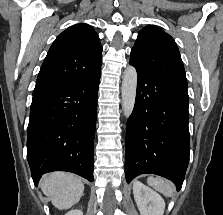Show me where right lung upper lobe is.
Returning <instances> with one entry per match:
<instances>
[{"label":"right lung upper lobe","mask_w":223,"mask_h":215,"mask_svg":"<svg viewBox=\"0 0 223 215\" xmlns=\"http://www.w3.org/2000/svg\"><path fill=\"white\" fill-rule=\"evenodd\" d=\"M102 46L88 24L63 31L51 45L41 66L33 96L53 92L95 75L101 69Z\"/></svg>","instance_id":"obj_1"}]
</instances>
